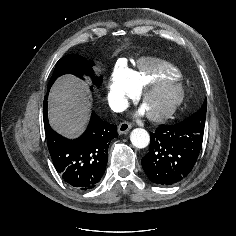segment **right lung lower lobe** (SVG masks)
Listing matches in <instances>:
<instances>
[{
    "mask_svg": "<svg viewBox=\"0 0 236 236\" xmlns=\"http://www.w3.org/2000/svg\"><path fill=\"white\" fill-rule=\"evenodd\" d=\"M43 118L47 146L57 172L75 189L95 187L105 172L108 147L117 137V126L92 112L89 125L79 138H64L49 125L47 99H44Z\"/></svg>",
    "mask_w": 236,
    "mask_h": 236,
    "instance_id": "obj_1",
    "label": "right lung lower lobe"
}]
</instances>
